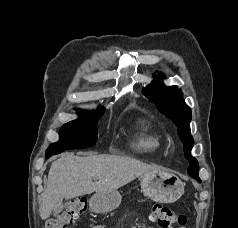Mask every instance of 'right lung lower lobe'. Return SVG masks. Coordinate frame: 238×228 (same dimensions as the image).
<instances>
[{
  "instance_id": "obj_1",
  "label": "right lung lower lobe",
  "mask_w": 238,
  "mask_h": 228,
  "mask_svg": "<svg viewBox=\"0 0 238 228\" xmlns=\"http://www.w3.org/2000/svg\"><path fill=\"white\" fill-rule=\"evenodd\" d=\"M51 155H54V154H46V157L49 158Z\"/></svg>"
}]
</instances>
